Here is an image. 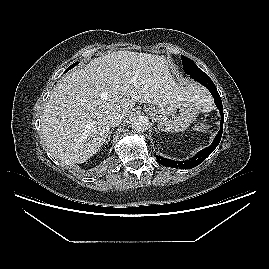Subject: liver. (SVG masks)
I'll use <instances>...</instances> for the list:
<instances>
[{
  "label": "liver",
  "mask_w": 269,
  "mask_h": 269,
  "mask_svg": "<svg viewBox=\"0 0 269 269\" xmlns=\"http://www.w3.org/2000/svg\"><path fill=\"white\" fill-rule=\"evenodd\" d=\"M184 101L200 109L212 105L203 87L176 82L163 57L115 51L59 80L46 102L42 135L55 158L66 165L81 164L108 138L110 113L128 115L137 102L166 106Z\"/></svg>",
  "instance_id": "obj_1"
}]
</instances>
